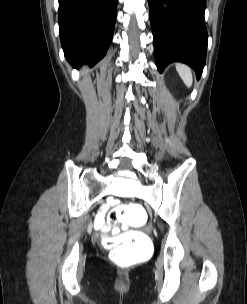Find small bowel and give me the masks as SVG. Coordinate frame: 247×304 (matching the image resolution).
I'll return each instance as SVG.
<instances>
[{"mask_svg": "<svg viewBox=\"0 0 247 304\" xmlns=\"http://www.w3.org/2000/svg\"><path fill=\"white\" fill-rule=\"evenodd\" d=\"M105 212H106V209L105 208L102 209L101 212L99 213V215L97 216L96 220H95V227L96 228H102V231L104 233H106V231H110L107 224H105V221H106ZM112 233L113 234H118L119 230L117 228H115V229L112 230Z\"/></svg>", "mask_w": 247, "mask_h": 304, "instance_id": "c3829d8e", "label": "small bowel"}]
</instances>
